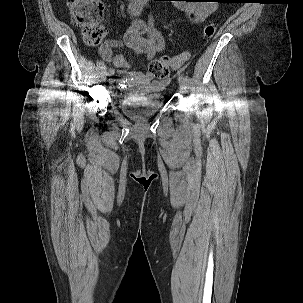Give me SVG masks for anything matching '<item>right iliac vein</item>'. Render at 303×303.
I'll return each instance as SVG.
<instances>
[{
	"instance_id": "63e3f726",
	"label": "right iliac vein",
	"mask_w": 303,
	"mask_h": 303,
	"mask_svg": "<svg viewBox=\"0 0 303 303\" xmlns=\"http://www.w3.org/2000/svg\"><path fill=\"white\" fill-rule=\"evenodd\" d=\"M114 81H115L114 76L113 75H109L108 82L110 84H112Z\"/></svg>"
}]
</instances>
